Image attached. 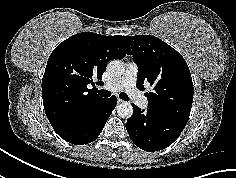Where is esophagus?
I'll list each match as a JSON object with an SVG mask.
<instances>
[{"label":"esophagus","instance_id":"esophagus-1","mask_svg":"<svg viewBox=\"0 0 236 178\" xmlns=\"http://www.w3.org/2000/svg\"><path fill=\"white\" fill-rule=\"evenodd\" d=\"M117 103H118V104H122V103H124V101L121 100V99H118V100H117Z\"/></svg>","mask_w":236,"mask_h":178}]
</instances>
